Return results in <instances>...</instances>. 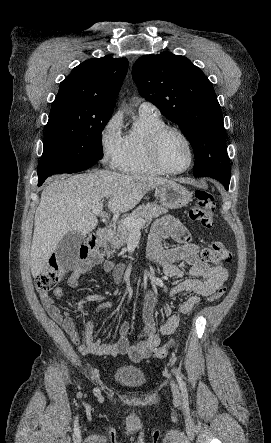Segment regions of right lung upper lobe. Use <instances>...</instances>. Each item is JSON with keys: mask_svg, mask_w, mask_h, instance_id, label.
<instances>
[{"mask_svg": "<svg viewBox=\"0 0 271 443\" xmlns=\"http://www.w3.org/2000/svg\"><path fill=\"white\" fill-rule=\"evenodd\" d=\"M127 69L126 58L86 60L60 83L52 105L72 104L92 116H111Z\"/></svg>", "mask_w": 271, "mask_h": 443, "instance_id": "cb5924a9", "label": "right lung upper lobe"}]
</instances>
